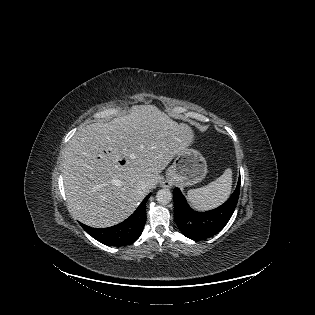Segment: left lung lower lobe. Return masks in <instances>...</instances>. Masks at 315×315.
I'll list each match as a JSON object with an SVG mask.
<instances>
[{"mask_svg": "<svg viewBox=\"0 0 315 315\" xmlns=\"http://www.w3.org/2000/svg\"><path fill=\"white\" fill-rule=\"evenodd\" d=\"M240 193V178L231 197L207 212L193 211L179 188H174V217L180 231L192 240H203L220 232L231 218Z\"/></svg>", "mask_w": 315, "mask_h": 315, "instance_id": "left-lung-lower-lobe-1", "label": "left lung lower lobe"}]
</instances>
